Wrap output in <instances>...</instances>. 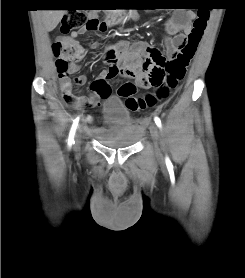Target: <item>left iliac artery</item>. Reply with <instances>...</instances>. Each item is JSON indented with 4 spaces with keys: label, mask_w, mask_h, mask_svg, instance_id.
<instances>
[{
    "label": "left iliac artery",
    "mask_w": 245,
    "mask_h": 278,
    "mask_svg": "<svg viewBox=\"0 0 245 278\" xmlns=\"http://www.w3.org/2000/svg\"><path fill=\"white\" fill-rule=\"evenodd\" d=\"M154 121H155L156 125L161 128V120H160V118L155 117ZM166 161L169 162V159L166 158Z\"/></svg>",
    "instance_id": "1"
}]
</instances>
